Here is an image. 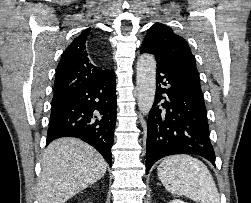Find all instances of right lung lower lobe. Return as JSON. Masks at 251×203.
<instances>
[{"label":"right lung lower lobe","mask_w":251,"mask_h":203,"mask_svg":"<svg viewBox=\"0 0 251 203\" xmlns=\"http://www.w3.org/2000/svg\"><path fill=\"white\" fill-rule=\"evenodd\" d=\"M115 123L116 82L112 70L107 76L52 101L47 145L60 137H77L98 150L111 166Z\"/></svg>","instance_id":"right-lung-lower-lobe-1"}]
</instances>
